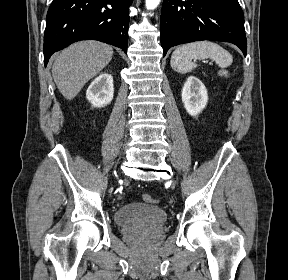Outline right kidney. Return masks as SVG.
Wrapping results in <instances>:
<instances>
[{
	"instance_id": "1",
	"label": "right kidney",
	"mask_w": 288,
	"mask_h": 280,
	"mask_svg": "<svg viewBox=\"0 0 288 280\" xmlns=\"http://www.w3.org/2000/svg\"><path fill=\"white\" fill-rule=\"evenodd\" d=\"M113 77L108 73L99 75L88 87L86 98L93 107H104L113 99Z\"/></svg>"
}]
</instances>
